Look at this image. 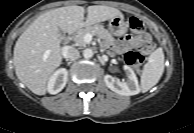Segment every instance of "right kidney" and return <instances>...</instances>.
Returning <instances> with one entry per match:
<instances>
[{
    "label": "right kidney",
    "mask_w": 194,
    "mask_h": 133,
    "mask_svg": "<svg viewBox=\"0 0 194 133\" xmlns=\"http://www.w3.org/2000/svg\"><path fill=\"white\" fill-rule=\"evenodd\" d=\"M68 72L65 68L57 70L49 79L47 89L50 94L59 93L66 85Z\"/></svg>",
    "instance_id": "obj_1"
}]
</instances>
